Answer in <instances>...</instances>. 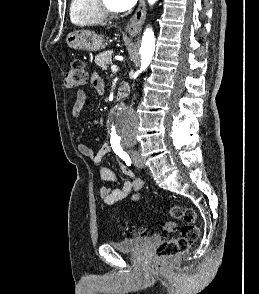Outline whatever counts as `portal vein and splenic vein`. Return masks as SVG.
<instances>
[{
    "label": "portal vein and splenic vein",
    "mask_w": 259,
    "mask_h": 294,
    "mask_svg": "<svg viewBox=\"0 0 259 294\" xmlns=\"http://www.w3.org/2000/svg\"><path fill=\"white\" fill-rule=\"evenodd\" d=\"M111 70H112V72H117L118 71V66L117 65H112Z\"/></svg>",
    "instance_id": "portal-vein-and-splenic-vein-1"
}]
</instances>
